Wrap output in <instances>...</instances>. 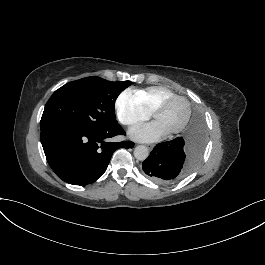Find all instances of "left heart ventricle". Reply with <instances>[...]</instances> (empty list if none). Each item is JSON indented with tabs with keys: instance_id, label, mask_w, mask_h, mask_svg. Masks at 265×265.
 Returning <instances> with one entry per match:
<instances>
[{
	"instance_id": "obj_1",
	"label": "left heart ventricle",
	"mask_w": 265,
	"mask_h": 265,
	"mask_svg": "<svg viewBox=\"0 0 265 265\" xmlns=\"http://www.w3.org/2000/svg\"><path fill=\"white\" fill-rule=\"evenodd\" d=\"M183 115V103L179 100H173L157 112L154 121L167 132L182 120Z\"/></svg>"
}]
</instances>
